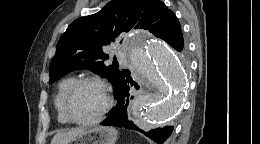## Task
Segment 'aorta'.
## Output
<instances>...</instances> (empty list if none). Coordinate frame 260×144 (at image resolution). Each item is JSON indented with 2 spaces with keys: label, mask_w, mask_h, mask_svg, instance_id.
I'll list each match as a JSON object with an SVG mask.
<instances>
[{
  "label": "aorta",
  "mask_w": 260,
  "mask_h": 144,
  "mask_svg": "<svg viewBox=\"0 0 260 144\" xmlns=\"http://www.w3.org/2000/svg\"><path fill=\"white\" fill-rule=\"evenodd\" d=\"M125 47L133 70L160 91L134 100L137 124L146 128L164 122L176 114L185 91V71L178 55L165 42L145 34L129 37Z\"/></svg>",
  "instance_id": "aorta-1"
}]
</instances>
